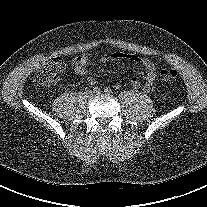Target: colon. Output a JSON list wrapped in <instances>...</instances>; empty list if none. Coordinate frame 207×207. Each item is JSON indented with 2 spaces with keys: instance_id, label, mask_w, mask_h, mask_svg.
<instances>
[{
  "instance_id": "obj_1",
  "label": "colon",
  "mask_w": 207,
  "mask_h": 207,
  "mask_svg": "<svg viewBox=\"0 0 207 207\" xmlns=\"http://www.w3.org/2000/svg\"><path fill=\"white\" fill-rule=\"evenodd\" d=\"M65 67L66 63L60 57L51 58L35 73V84L39 87L52 85L64 71ZM160 77L165 84H172L177 78V71L174 69H164L160 72Z\"/></svg>"
}]
</instances>
